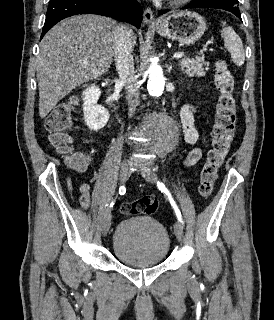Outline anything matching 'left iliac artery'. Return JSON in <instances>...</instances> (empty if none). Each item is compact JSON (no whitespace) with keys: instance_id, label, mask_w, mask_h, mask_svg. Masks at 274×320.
Masks as SVG:
<instances>
[{"instance_id":"44dca946","label":"left iliac artery","mask_w":274,"mask_h":320,"mask_svg":"<svg viewBox=\"0 0 274 320\" xmlns=\"http://www.w3.org/2000/svg\"><path fill=\"white\" fill-rule=\"evenodd\" d=\"M157 186H158V188H159L162 192H164V193L167 195V197H168V199H169V201H170V204H171V206L173 207V209H174V211H175V214H176L178 220L183 224L182 215H181V213H180V210L178 209L175 201L173 200V198H172L171 193L169 192V190L165 187V185H164L162 182H158V183H157Z\"/></svg>"}]
</instances>
